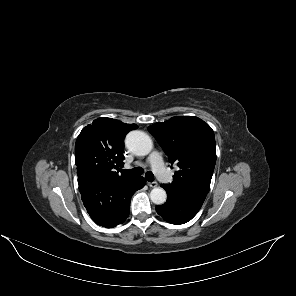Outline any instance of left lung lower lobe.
<instances>
[{"label": "left lung lower lobe", "mask_w": 296, "mask_h": 296, "mask_svg": "<svg viewBox=\"0 0 296 296\" xmlns=\"http://www.w3.org/2000/svg\"><path fill=\"white\" fill-rule=\"evenodd\" d=\"M161 186L164 188L163 185ZM167 196V201L163 205L157 206L156 211L172 224H184L190 221L205 200L204 197L178 195L168 191Z\"/></svg>", "instance_id": "1"}]
</instances>
